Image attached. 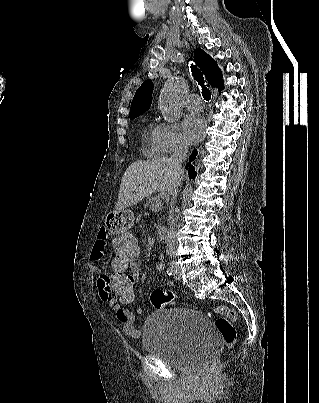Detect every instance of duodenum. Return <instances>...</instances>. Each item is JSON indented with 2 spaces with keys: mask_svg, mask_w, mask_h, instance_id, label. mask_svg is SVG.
<instances>
[{
  "mask_svg": "<svg viewBox=\"0 0 319 403\" xmlns=\"http://www.w3.org/2000/svg\"><path fill=\"white\" fill-rule=\"evenodd\" d=\"M155 230L157 232V234L159 235V237L163 240V241H167L169 238V231L168 228L163 225V224H158L155 227Z\"/></svg>",
  "mask_w": 319,
  "mask_h": 403,
  "instance_id": "duodenum-1",
  "label": "duodenum"
}]
</instances>
